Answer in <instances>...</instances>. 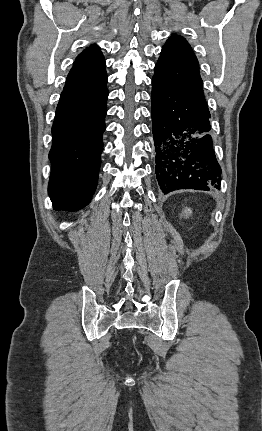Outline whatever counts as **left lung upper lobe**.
Returning a JSON list of instances; mask_svg holds the SVG:
<instances>
[{
    "label": "left lung upper lobe",
    "instance_id": "5c2ea615",
    "mask_svg": "<svg viewBox=\"0 0 262 431\" xmlns=\"http://www.w3.org/2000/svg\"><path fill=\"white\" fill-rule=\"evenodd\" d=\"M153 78L182 93L208 114L198 60L188 42L173 35L162 48Z\"/></svg>",
    "mask_w": 262,
    "mask_h": 431
}]
</instances>
